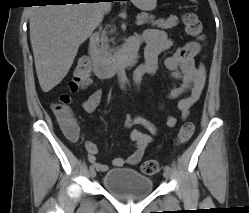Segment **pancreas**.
Here are the masks:
<instances>
[{
	"label": "pancreas",
	"mask_w": 249,
	"mask_h": 213,
	"mask_svg": "<svg viewBox=\"0 0 249 213\" xmlns=\"http://www.w3.org/2000/svg\"><path fill=\"white\" fill-rule=\"evenodd\" d=\"M139 17L143 19L145 22H150L152 26H157L161 29H169L172 27L177 26L178 18L176 16H170L168 19H158L154 20V16L148 15L147 13L139 14ZM113 30L110 29L109 31L103 30L101 32V39H100V52L106 58H112L114 56L115 50L110 47V42H113V39H109L108 35L112 34Z\"/></svg>",
	"instance_id": "1"
}]
</instances>
